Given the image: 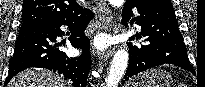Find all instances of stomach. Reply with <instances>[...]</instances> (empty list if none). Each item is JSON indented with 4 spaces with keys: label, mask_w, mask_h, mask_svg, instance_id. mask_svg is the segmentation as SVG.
<instances>
[{
    "label": "stomach",
    "mask_w": 205,
    "mask_h": 87,
    "mask_svg": "<svg viewBox=\"0 0 205 87\" xmlns=\"http://www.w3.org/2000/svg\"><path fill=\"white\" fill-rule=\"evenodd\" d=\"M172 76L162 69H150L137 75L128 87H171Z\"/></svg>",
    "instance_id": "1"
}]
</instances>
